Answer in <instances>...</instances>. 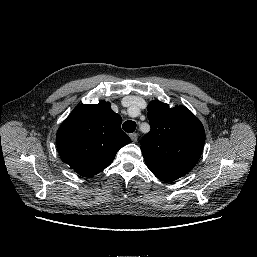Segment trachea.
I'll return each mask as SVG.
<instances>
[{
	"label": "trachea",
	"mask_w": 257,
	"mask_h": 257,
	"mask_svg": "<svg viewBox=\"0 0 257 257\" xmlns=\"http://www.w3.org/2000/svg\"><path fill=\"white\" fill-rule=\"evenodd\" d=\"M122 128L127 133H133L136 129V123L131 120L125 121L122 125Z\"/></svg>",
	"instance_id": "1"
}]
</instances>
